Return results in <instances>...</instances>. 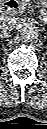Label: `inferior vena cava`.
Segmentation results:
<instances>
[{"label": "inferior vena cava", "mask_w": 47, "mask_h": 129, "mask_svg": "<svg viewBox=\"0 0 47 129\" xmlns=\"http://www.w3.org/2000/svg\"><path fill=\"white\" fill-rule=\"evenodd\" d=\"M18 19L12 16H3L1 17L0 27L3 31L12 30L16 27Z\"/></svg>", "instance_id": "inferior-vena-cava-1"}]
</instances>
